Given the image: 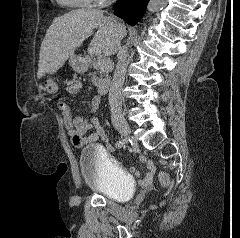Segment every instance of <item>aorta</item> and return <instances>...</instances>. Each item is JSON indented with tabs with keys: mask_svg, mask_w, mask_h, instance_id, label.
I'll return each mask as SVG.
<instances>
[{
	"mask_svg": "<svg viewBox=\"0 0 240 238\" xmlns=\"http://www.w3.org/2000/svg\"><path fill=\"white\" fill-rule=\"evenodd\" d=\"M166 2L167 0H150L147 10L152 13L157 12L166 5Z\"/></svg>",
	"mask_w": 240,
	"mask_h": 238,
	"instance_id": "obj_1",
	"label": "aorta"
}]
</instances>
